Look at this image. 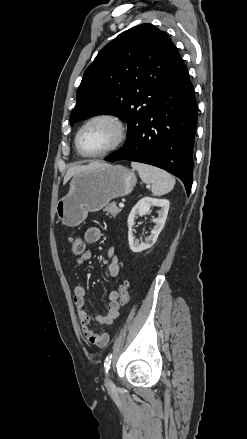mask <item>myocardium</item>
Segmentation results:
<instances>
[{
    "label": "myocardium",
    "mask_w": 247,
    "mask_h": 439,
    "mask_svg": "<svg viewBox=\"0 0 247 439\" xmlns=\"http://www.w3.org/2000/svg\"><path fill=\"white\" fill-rule=\"evenodd\" d=\"M108 121L110 122L116 129V139L113 142L111 146L104 149L103 151L97 152V153H85L81 146H80V137L83 133V131L93 122L95 121ZM127 139V127L124 123V121L117 115L111 114V113H99L96 115H93L89 119H87L84 124L80 127L76 134L75 138V146L77 148V151L80 153V155L87 157V158H97L105 156L115 150H117L119 147H121L124 142Z\"/></svg>",
    "instance_id": "1"
}]
</instances>
